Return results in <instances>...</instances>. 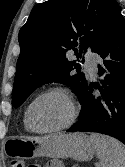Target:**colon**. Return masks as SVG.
<instances>
[{"label":"colon","mask_w":125,"mask_h":167,"mask_svg":"<svg viewBox=\"0 0 125 167\" xmlns=\"http://www.w3.org/2000/svg\"><path fill=\"white\" fill-rule=\"evenodd\" d=\"M9 167H40L39 165L28 166L23 159L14 158L10 160Z\"/></svg>","instance_id":"1"}]
</instances>
